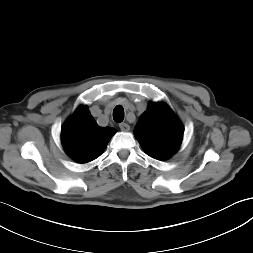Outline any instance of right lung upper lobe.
I'll return each instance as SVG.
<instances>
[{
	"mask_svg": "<svg viewBox=\"0 0 253 253\" xmlns=\"http://www.w3.org/2000/svg\"><path fill=\"white\" fill-rule=\"evenodd\" d=\"M114 133V128L99 127L87 106H80L63 125L61 140L70 157L79 163H87L103 153Z\"/></svg>",
	"mask_w": 253,
	"mask_h": 253,
	"instance_id": "right-lung-upper-lobe-1",
	"label": "right lung upper lobe"
}]
</instances>
